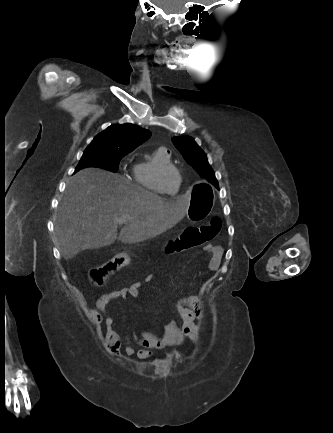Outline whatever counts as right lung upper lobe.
<instances>
[{"label": "right lung upper lobe", "mask_w": 333, "mask_h": 433, "mask_svg": "<svg viewBox=\"0 0 333 433\" xmlns=\"http://www.w3.org/2000/svg\"><path fill=\"white\" fill-rule=\"evenodd\" d=\"M150 136L149 130L131 123L113 124L97 135L89 146L112 148L130 153Z\"/></svg>", "instance_id": "1"}]
</instances>
